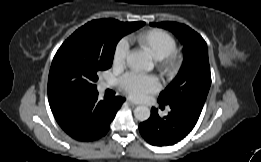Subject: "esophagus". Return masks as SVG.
<instances>
[{
  "label": "esophagus",
  "mask_w": 261,
  "mask_h": 162,
  "mask_svg": "<svg viewBox=\"0 0 261 162\" xmlns=\"http://www.w3.org/2000/svg\"><path fill=\"white\" fill-rule=\"evenodd\" d=\"M126 103H127L128 105H130L131 107H136V106H137V104L133 103V102L130 101V100H127Z\"/></svg>",
  "instance_id": "esophagus-1"
}]
</instances>
